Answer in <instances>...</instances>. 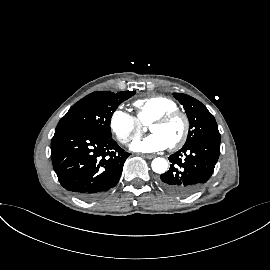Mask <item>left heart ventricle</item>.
<instances>
[{"label":"left heart ventricle","mask_w":270,"mask_h":270,"mask_svg":"<svg viewBox=\"0 0 270 270\" xmlns=\"http://www.w3.org/2000/svg\"><path fill=\"white\" fill-rule=\"evenodd\" d=\"M184 128L183 120L179 117L172 119L165 124H155L149 127L151 133L161 136L168 146L175 143L182 135Z\"/></svg>","instance_id":"1"}]
</instances>
